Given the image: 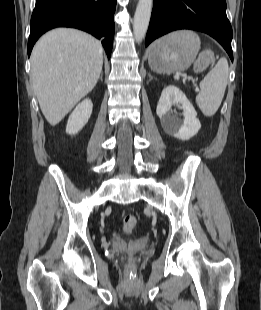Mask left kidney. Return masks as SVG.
Masks as SVG:
<instances>
[{
  "label": "left kidney",
  "instance_id": "obj_1",
  "mask_svg": "<svg viewBox=\"0 0 261 310\" xmlns=\"http://www.w3.org/2000/svg\"><path fill=\"white\" fill-rule=\"evenodd\" d=\"M175 103L181 104L184 116L183 123L171 111V106ZM156 113L164 130L178 139L189 140L201 128L193 105L185 94L174 85H169L162 91Z\"/></svg>",
  "mask_w": 261,
  "mask_h": 310
}]
</instances>
